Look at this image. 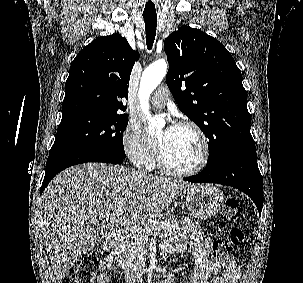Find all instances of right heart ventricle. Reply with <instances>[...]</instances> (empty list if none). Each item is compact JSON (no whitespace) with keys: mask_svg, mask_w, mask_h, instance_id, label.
<instances>
[{"mask_svg":"<svg viewBox=\"0 0 303 283\" xmlns=\"http://www.w3.org/2000/svg\"><path fill=\"white\" fill-rule=\"evenodd\" d=\"M155 165H156V161H155V159H154V157H153L152 160H151L146 166L152 168V167H154Z\"/></svg>","mask_w":303,"mask_h":283,"instance_id":"obj_1","label":"right heart ventricle"}]
</instances>
